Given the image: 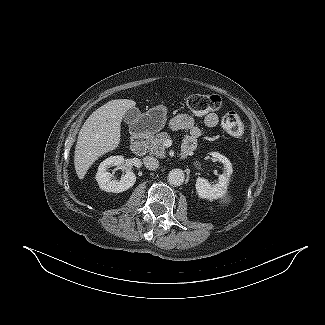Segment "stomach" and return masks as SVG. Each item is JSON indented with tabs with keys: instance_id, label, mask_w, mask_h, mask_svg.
Returning a JSON list of instances; mask_svg holds the SVG:
<instances>
[{
	"instance_id": "obj_1",
	"label": "stomach",
	"mask_w": 325,
	"mask_h": 325,
	"mask_svg": "<svg viewBox=\"0 0 325 325\" xmlns=\"http://www.w3.org/2000/svg\"><path fill=\"white\" fill-rule=\"evenodd\" d=\"M166 115L167 111L163 106L151 108L133 122V133L136 135L157 133L165 126Z\"/></svg>"
}]
</instances>
